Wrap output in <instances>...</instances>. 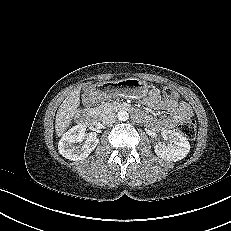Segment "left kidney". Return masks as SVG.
Masks as SVG:
<instances>
[{"instance_id":"5707ae66","label":"left kidney","mask_w":231,"mask_h":231,"mask_svg":"<svg viewBox=\"0 0 231 231\" xmlns=\"http://www.w3.org/2000/svg\"><path fill=\"white\" fill-rule=\"evenodd\" d=\"M161 135L169 143H158L154 146L157 156L166 161L174 162L187 156L190 151V143L186 137L175 130H164Z\"/></svg>"}]
</instances>
